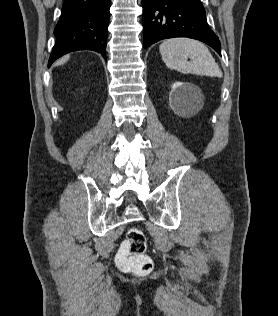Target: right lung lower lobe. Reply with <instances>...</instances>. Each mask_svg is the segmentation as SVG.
I'll return each mask as SVG.
<instances>
[{
  "label": "right lung lower lobe",
  "instance_id": "right-lung-lower-lobe-1",
  "mask_svg": "<svg viewBox=\"0 0 278 316\" xmlns=\"http://www.w3.org/2000/svg\"><path fill=\"white\" fill-rule=\"evenodd\" d=\"M110 5L111 0H65L48 67L60 56L77 50H94L106 59Z\"/></svg>",
  "mask_w": 278,
  "mask_h": 316
}]
</instances>
